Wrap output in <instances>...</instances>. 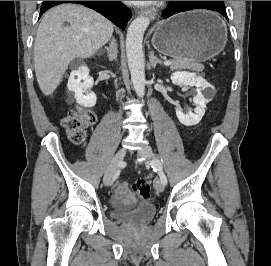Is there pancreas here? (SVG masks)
Segmentation results:
<instances>
[{"label": "pancreas", "instance_id": "cf45deb5", "mask_svg": "<svg viewBox=\"0 0 271 266\" xmlns=\"http://www.w3.org/2000/svg\"><path fill=\"white\" fill-rule=\"evenodd\" d=\"M170 68L171 70L187 68V69H192L196 72H202L204 70V66L202 64L183 61V60H177V59L171 60Z\"/></svg>", "mask_w": 271, "mask_h": 266}]
</instances>
